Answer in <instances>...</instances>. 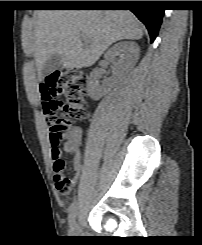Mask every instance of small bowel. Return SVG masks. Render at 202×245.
<instances>
[{
  "label": "small bowel",
  "mask_w": 202,
  "mask_h": 245,
  "mask_svg": "<svg viewBox=\"0 0 202 245\" xmlns=\"http://www.w3.org/2000/svg\"><path fill=\"white\" fill-rule=\"evenodd\" d=\"M39 98L43 104H48L54 107L56 104L54 89L48 87L45 83H41L38 92ZM55 111V108H53ZM82 141V132L79 128L70 130L67 134L66 141L63 144V151L73 155V169L72 177H67L65 173L66 161L62 157V149L51 148V171L55 183V190L59 193L66 194L76 184L82 176L85 167L82 164L80 145Z\"/></svg>",
  "instance_id": "small-bowel-1"
}]
</instances>
